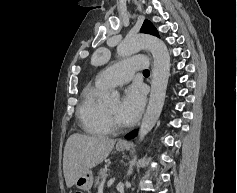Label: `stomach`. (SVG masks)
Segmentation results:
<instances>
[{"instance_id": "stomach-1", "label": "stomach", "mask_w": 237, "mask_h": 193, "mask_svg": "<svg viewBox=\"0 0 237 193\" xmlns=\"http://www.w3.org/2000/svg\"><path fill=\"white\" fill-rule=\"evenodd\" d=\"M125 146L116 145V150L122 152L125 150ZM93 184V174L91 170H86L76 180L75 185L82 190H89Z\"/></svg>"}]
</instances>
